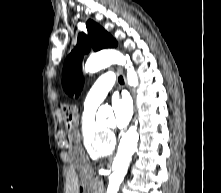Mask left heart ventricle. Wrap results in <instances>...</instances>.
<instances>
[{"instance_id": "left-heart-ventricle-1", "label": "left heart ventricle", "mask_w": 221, "mask_h": 193, "mask_svg": "<svg viewBox=\"0 0 221 193\" xmlns=\"http://www.w3.org/2000/svg\"><path fill=\"white\" fill-rule=\"evenodd\" d=\"M104 125L105 126H112L113 125V120L109 119Z\"/></svg>"}]
</instances>
